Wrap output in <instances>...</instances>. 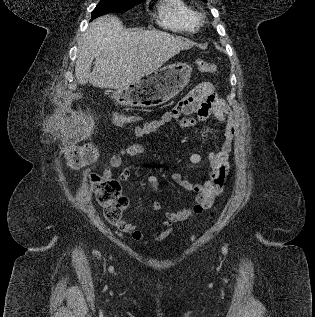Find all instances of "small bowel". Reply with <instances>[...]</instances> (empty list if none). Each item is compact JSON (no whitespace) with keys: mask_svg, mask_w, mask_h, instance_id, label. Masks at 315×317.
Masks as SVG:
<instances>
[{"mask_svg":"<svg viewBox=\"0 0 315 317\" xmlns=\"http://www.w3.org/2000/svg\"><path fill=\"white\" fill-rule=\"evenodd\" d=\"M211 115L225 123V131L224 141L220 150L215 153H209L207 156L210 164L207 180L204 183H192L179 174L173 175V181L178 186L196 193L195 204L179 211L167 212L162 229L153 232L149 236L153 242H160L166 239L171 234L174 223L200 215L213 206L215 198L222 191L228 174V159L236 133V120L230 107L216 94L213 84L205 82L196 86L176 106L164 112L159 119L147 121L142 125L134 126L132 129L136 137L142 138L156 133L162 126L172 120H176L181 127H191L207 120ZM143 152L144 146L140 143L124 146L118 153L111 156L109 165L104 169L103 175L108 178H114L115 170L122 166L125 156L135 157ZM203 161L204 156L198 152L190 155V162L194 165L201 164ZM130 175L131 169L127 167L120 173L119 180H126ZM147 191L150 194H155L159 191V181L156 176L147 178ZM152 206L156 211L161 210V203L157 200L153 201ZM120 229L137 241L148 237L146 233L131 223L123 221Z\"/></svg>","mask_w":315,"mask_h":317,"instance_id":"c3829d8e","label":"small bowel"}]
</instances>
